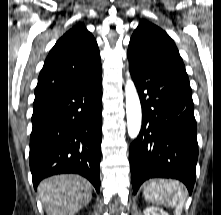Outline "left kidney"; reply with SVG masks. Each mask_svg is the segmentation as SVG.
Returning a JSON list of instances; mask_svg holds the SVG:
<instances>
[{
	"label": "left kidney",
	"mask_w": 221,
	"mask_h": 215,
	"mask_svg": "<svg viewBox=\"0 0 221 215\" xmlns=\"http://www.w3.org/2000/svg\"><path fill=\"white\" fill-rule=\"evenodd\" d=\"M144 215H169V214L160 208L149 207L144 210Z\"/></svg>",
	"instance_id": "5707ae66"
}]
</instances>
